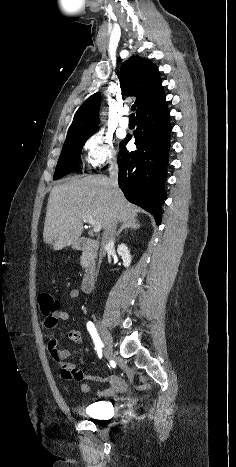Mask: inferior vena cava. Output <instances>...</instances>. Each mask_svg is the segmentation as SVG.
Listing matches in <instances>:
<instances>
[{
  "instance_id": "obj_1",
  "label": "inferior vena cava",
  "mask_w": 236,
  "mask_h": 467,
  "mask_svg": "<svg viewBox=\"0 0 236 467\" xmlns=\"http://www.w3.org/2000/svg\"><path fill=\"white\" fill-rule=\"evenodd\" d=\"M109 174H110V183L113 186L114 189L118 188V168L117 166H112L109 169ZM115 233H116V223L111 222L107 228L105 229L103 235H102V241H101V249H100V258H103L106 254V249L109 246L114 245V239H115Z\"/></svg>"
}]
</instances>
